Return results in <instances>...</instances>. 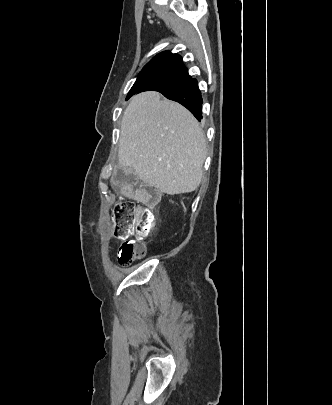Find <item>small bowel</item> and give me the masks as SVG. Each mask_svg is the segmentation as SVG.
I'll use <instances>...</instances> for the list:
<instances>
[{
	"instance_id": "obj_1",
	"label": "small bowel",
	"mask_w": 332,
	"mask_h": 405,
	"mask_svg": "<svg viewBox=\"0 0 332 405\" xmlns=\"http://www.w3.org/2000/svg\"><path fill=\"white\" fill-rule=\"evenodd\" d=\"M140 172H130L129 168H116L111 173L110 186H141Z\"/></svg>"
}]
</instances>
